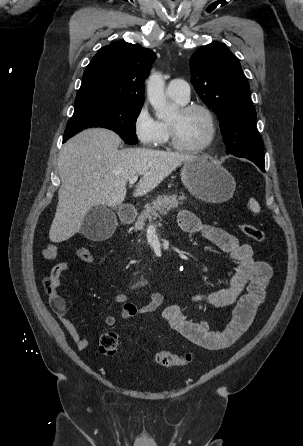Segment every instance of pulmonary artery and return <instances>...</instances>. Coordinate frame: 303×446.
<instances>
[{
    "label": "pulmonary artery",
    "instance_id": "1",
    "mask_svg": "<svg viewBox=\"0 0 303 446\" xmlns=\"http://www.w3.org/2000/svg\"><path fill=\"white\" fill-rule=\"evenodd\" d=\"M167 93L170 97L188 101L190 96L189 84L180 78L172 79L167 85Z\"/></svg>",
    "mask_w": 303,
    "mask_h": 446
}]
</instances>
